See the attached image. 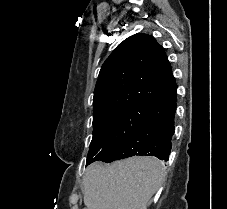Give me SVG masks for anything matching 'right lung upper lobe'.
I'll use <instances>...</instances> for the list:
<instances>
[{"instance_id":"1","label":"right lung upper lobe","mask_w":227,"mask_h":209,"mask_svg":"<svg viewBox=\"0 0 227 209\" xmlns=\"http://www.w3.org/2000/svg\"><path fill=\"white\" fill-rule=\"evenodd\" d=\"M170 63L164 48L153 36L139 33L121 42L101 67L93 99V116L104 102L128 98L151 105L169 95L176 84L169 82Z\"/></svg>"}]
</instances>
